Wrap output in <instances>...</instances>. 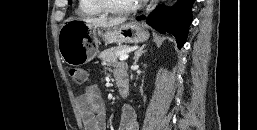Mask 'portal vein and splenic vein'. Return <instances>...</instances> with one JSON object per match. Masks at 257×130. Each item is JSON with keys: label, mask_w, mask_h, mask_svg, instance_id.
<instances>
[{"label": "portal vein and splenic vein", "mask_w": 257, "mask_h": 130, "mask_svg": "<svg viewBox=\"0 0 257 130\" xmlns=\"http://www.w3.org/2000/svg\"><path fill=\"white\" fill-rule=\"evenodd\" d=\"M118 55H119L120 61H125L129 57L128 52H126V51L120 52Z\"/></svg>", "instance_id": "18ae733b"}]
</instances>
